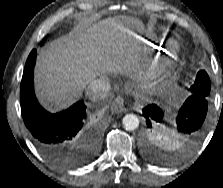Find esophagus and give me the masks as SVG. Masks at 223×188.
Wrapping results in <instances>:
<instances>
[{
	"instance_id": "obj_1",
	"label": "esophagus",
	"mask_w": 223,
	"mask_h": 188,
	"mask_svg": "<svg viewBox=\"0 0 223 188\" xmlns=\"http://www.w3.org/2000/svg\"><path fill=\"white\" fill-rule=\"evenodd\" d=\"M111 110L114 113H121L123 111H126L124 99L122 97L115 98L111 103Z\"/></svg>"
}]
</instances>
